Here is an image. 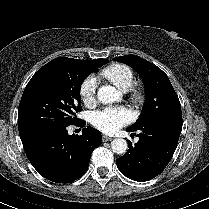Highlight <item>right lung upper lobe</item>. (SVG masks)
I'll return each mask as SVG.
<instances>
[{"instance_id": "1", "label": "right lung upper lobe", "mask_w": 209, "mask_h": 209, "mask_svg": "<svg viewBox=\"0 0 209 209\" xmlns=\"http://www.w3.org/2000/svg\"><path fill=\"white\" fill-rule=\"evenodd\" d=\"M91 66L95 69L101 67L102 65L108 63L109 61L106 59H95V60H86Z\"/></svg>"}]
</instances>
